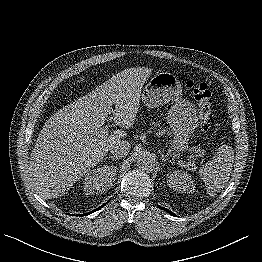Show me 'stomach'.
Segmentation results:
<instances>
[{"instance_id":"stomach-1","label":"stomach","mask_w":262,"mask_h":262,"mask_svg":"<svg viewBox=\"0 0 262 262\" xmlns=\"http://www.w3.org/2000/svg\"><path fill=\"white\" fill-rule=\"evenodd\" d=\"M182 86L178 78L169 72L154 75L142 91V101L148 108L171 102L167 121L174 134L172 146L177 151L186 149L189 136L198 125L195 105L181 99Z\"/></svg>"}]
</instances>
